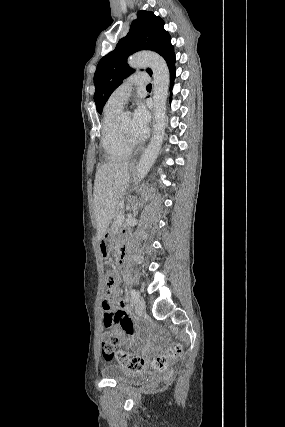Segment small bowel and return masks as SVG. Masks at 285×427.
Listing matches in <instances>:
<instances>
[{
    "label": "small bowel",
    "mask_w": 285,
    "mask_h": 427,
    "mask_svg": "<svg viewBox=\"0 0 285 427\" xmlns=\"http://www.w3.org/2000/svg\"><path fill=\"white\" fill-rule=\"evenodd\" d=\"M101 310L103 313V324L105 327H112L115 323H118L127 333V326L129 323V317L125 312V304L120 298L118 287L113 288L111 296L104 298L101 303ZM121 314L120 317L118 315ZM128 344L129 341H126Z\"/></svg>",
    "instance_id": "1"
}]
</instances>
